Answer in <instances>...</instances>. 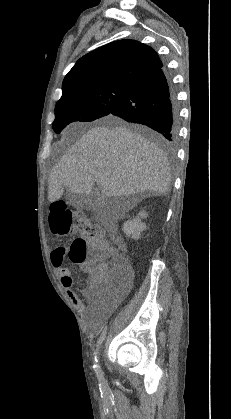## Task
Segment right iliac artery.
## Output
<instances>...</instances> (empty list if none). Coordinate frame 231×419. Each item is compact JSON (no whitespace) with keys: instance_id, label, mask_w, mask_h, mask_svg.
<instances>
[{"instance_id":"1","label":"right iliac artery","mask_w":231,"mask_h":419,"mask_svg":"<svg viewBox=\"0 0 231 419\" xmlns=\"http://www.w3.org/2000/svg\"><path fill=\"white\" fill-rule=\"evenodd\" d=\"M106 329H107V327L104 328L103 332L101 333L100 337L98 338L97 347H99L101 345V343L103 342V340L105 338V335H106ZM96 354H97V352H96ZM93 368H94L98 378L101 379L102 378V372H101L100 366L98 364V359H97L96 355H95V358H94Z\"/></svg>"}]
</instances>
